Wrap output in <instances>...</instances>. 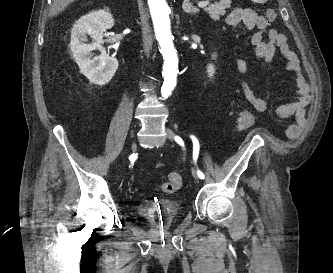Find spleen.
Here are the masks:
<instances>
[{
	"instance_id": "spleen-1",
	"label": "spleen",
	"mask_w": 333,
	"mask_h": 273,
	"mask_svg": "<svg viewBox=\"0 0 333 273\" xmlns=\"http://www.w3.org/2000/svg\"><path fill=\"white\" fill-rule=\"evenodd\" d=\"M253 2H256V3H265L267 2L268 0H252Z\"/></svg>"
}]
</instances>
